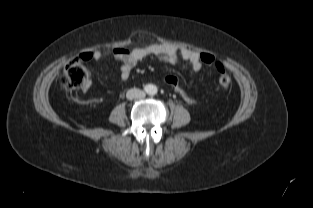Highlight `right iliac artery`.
Wrapping results in <instances>:
<instances>
[{
  "label": "right iliac artery",
  "instance_id": "right-iliac-artery-1",
  "mask_svg": "<svg viewBox=\"0 0 313 208\" xmlns=\"http://www.w3.org/2000/svg\"><path fill=\"white\" fill-rule=\"evenodd\" d=\"M147 90H148V87L146 86V87H145V91H147Z\"/></svg>",
  "mask_w": 313,
  "mask_h": 208
}]
</instances>
